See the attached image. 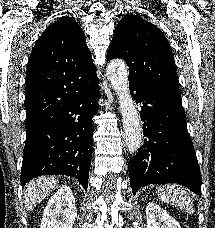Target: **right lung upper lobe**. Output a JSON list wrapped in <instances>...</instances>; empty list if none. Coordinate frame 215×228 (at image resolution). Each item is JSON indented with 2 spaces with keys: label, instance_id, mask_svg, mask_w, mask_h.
<instances>
[{
  "label": "right lung upper lobe",
  "instance_id": "cb5924a9",
  "mask_svg": "<svg viewBox=\"0 0 215 228\" xmlns=\"http://www.w3.org/2000/svg\"><path fill=\"white\" fill-rule=\"evenodd\" d=\"M96 74L85 35L78 23L63 17L36 42L26 70V123L65 102L70 89Z\"/></svg>",
  "mask_w": 215,
  "mask_h": 228
}]
</instances>
